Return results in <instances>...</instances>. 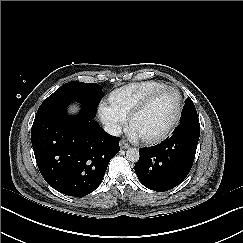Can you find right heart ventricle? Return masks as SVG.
I'll return each instance as SVG.
<instances>
[{
    "mask_svg": "<svg viewBox=\"0 0 243 243\" xmlns=\"http://www.w3.org/2000/svg\"><path fill=\"white\" fill-rule=\"evenodd\" d=\"M166 87L157 80H147L128 84L114 91L109 98L110 109L119 117L126 118L146 97Z\"/></svg>",
    "mask_w": 243,
    "mask_h": 243,
    "instance_id": "e07e8e85",
    "label": "right heart ventricle"
}]
</instances>
